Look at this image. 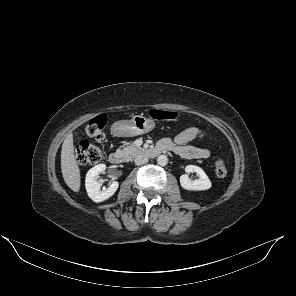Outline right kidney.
I'll return each mask as SVG.
<instances>
[{"mask_svg": "<svg viewBox=\"0 0 296 296\" xmlns=\"http://www.w3.org/2000/svg\"><path fill=\"white\" fill-rule=\"evenodd\" d=\"M105 170H106L105 164H98L93 168H91L86 174L85 186H86L88 196L94 202H97V203L107 200L108 198L113 196L119 187V183L117 181H114L112 182L110 187H108L107 189L103 191L100 190V186L102 185V180H98V175L101 172H104Z\"/></svg>", "mask_w": 296, "mask_h": 296, "instance_id": "ca27d5eb", "label": "right kidney"}]
</instances>
